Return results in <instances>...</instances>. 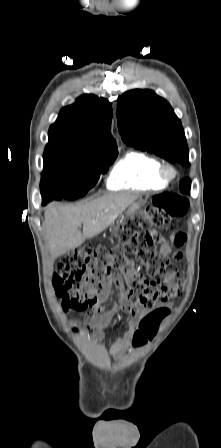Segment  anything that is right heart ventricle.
<instances>
[{"mask_svg": "<svg viewBox=\"0 0 221 448\" xmlns=\"http://www.w3.org/2000/svg\"><path fill=\"white\" fill-rule=\"evenodd\" d=\"M160 161L142 151L128 152L112 169L107 186L112 190H160L167 184L158 177Z\"/></svg>", "mask_w": 221, "mask_h": 448, "instance_id": "obj_1", "label": "right heart ventricle"}]
</instances>
